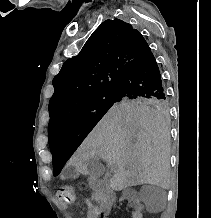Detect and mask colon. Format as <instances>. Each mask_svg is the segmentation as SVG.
<instances>
[{"label": "colon", "instance_id": "1", "mask_svg": "<svg viewBox=\"0 0 211 218\" xmlns=\"http://www.w3.org/2000/svg\"><path fill=\"white\" fill-rule=\"evenodd\" d=\"M57 198L64 204H71L74 202L75 195L70 185H63L57 191Z\"/></svg>", "mask_w": 211, "mask_h": 218}]
</instances>
